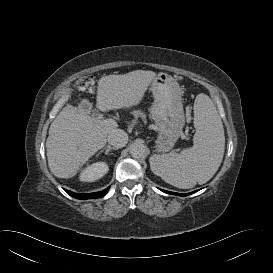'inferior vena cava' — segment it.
<instances>
[{
    "label": "inferior vena cava",
    "instance_id": "602c4592",
    "mask_svg": "<svg viewBox=\"0 0 273 273\" xmlns=\"http://www.w3.org/2000/svg\"><path fill=\"white\" fill-rule=\"evenodd\" d=\"M107 142L116 147H124L128 142V134L121 129H113L107 136Z\"/></svg>",
    "mask_w": 273,
    "mask_h": 273
}]
</instances>
